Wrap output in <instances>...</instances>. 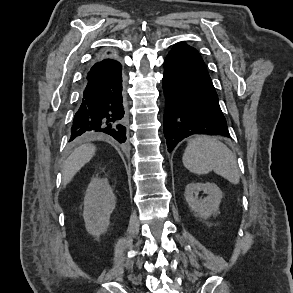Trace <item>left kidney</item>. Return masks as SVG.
<instances>
[{
	"instance_id": "obj_1",
	"label": "left kidney",
	"mask_w": 293,
	"mask_h": 293,
	"mask_svg": "<svg viewBox=\"0 0 293 293\" xmlns=\"http://www.w3.org/2000/svg\"><path fill=\"white\" fill-rule=\"evenodd\" d=\"M200 191L208 196L203 199L199 198ZM184 196L195 216L207 219L211 215L219 213L222 192L215 183H189L185 187Z\"/></svg>"
}]
</instances>
